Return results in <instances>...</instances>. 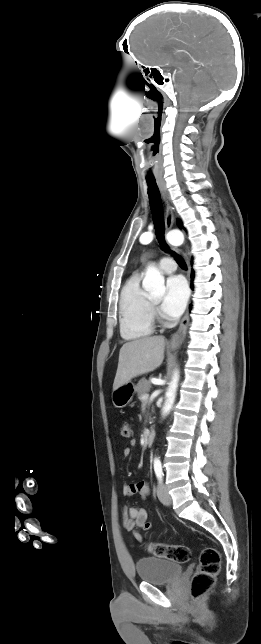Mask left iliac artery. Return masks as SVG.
<instances>
[{
	"label": "left iliac artery",
	"mask_w": 261,
	"mask_h": 644,
	"mask_svg": "<svg viewBox=\"0 0 261 644\" xmlns=\"http://www.w3.org/2000/svg\"><path fill=\"white\" fill-rule=\"evenodd\" d=\"M154 471L157 478L161 481L163 477V471L161 461L158 458L154 460Z\"/></svg>",
	"instance_id": "left-iliac-artery-1"
}]
</instances>
